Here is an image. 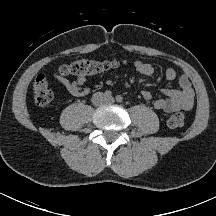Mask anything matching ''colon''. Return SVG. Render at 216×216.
<instances>
[{
    "mask_svg": "<svg viewBox=\"0 0 216 216\" xmlns=\"http://www.w3.org/2000/svg\"><path fill=\"white\" fill-rule=\"evenodd\" d=\"M116 66V62L107 60L82 59L61 67L62 74H73L81 77H90ZM33 95L35 103L40 107H46L53 102L54 95L50 89L49 81L44 75H38L33 83ZM185 117L182 113H175L168 119L170 128H179L183 125Z\"/></svg>",
    "mask_w": 216,
    "mask_h": 216,
    "instance_id": "1",
    "label": "colon"
}]
</instances>
